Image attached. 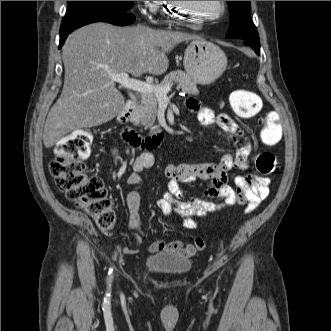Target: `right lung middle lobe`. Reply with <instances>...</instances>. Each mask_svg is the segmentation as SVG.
Returning <instances> with one entry per match:
<instances>
[{
    "label": "right lung middle lobe",
    "instance_id": "obj_1",
    "mask_svg": "<svg viewBox=\"0 0 331 331\" xmlns=\"http://www.w3.org/2000/svg\"><path fill=\"white\" fill-rule=\"evenodd\" d=\"M132 7L133 1H69L60 32L97 17L128 13Z\"/></svg>",
    "mask_w": 331,
    "mask_h": 331
}]
</instances>
